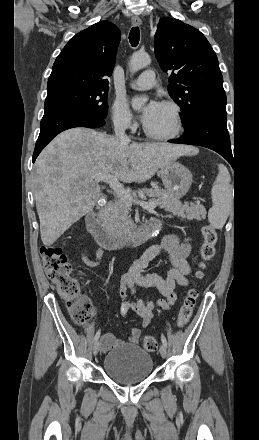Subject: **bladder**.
<instances>
[{
  "mask_svg": "<svg viewBox=\"0 0 259 440\" xmlns=\"http://www.w3.org/2000/svg\"><path fill=\"white\" fill-rule=\"evenodd\" d=\"M103 369L117 383L136 384L150 376L153 360L151 355L138 345H121L105 355Z\"/></svg>",
  "mask_w": 259,
  "mask_h": 440,
  "instance_id": "31cf9c89",
  "label": "bladder"
}]
</instances>
